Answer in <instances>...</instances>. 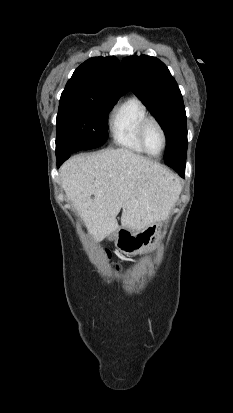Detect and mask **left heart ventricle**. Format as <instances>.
I'll return each mask as SVG.
<instances>
[{"label": "left heart ventricle", "mask_w": 233, "mask_h": 413, "mask_svg": "<svg viewBox=\"0 0 233 413\" xmlns=\"http://www.w3.org/2000/svg\"><path fill=\"white\" fill-rule=\"evenodd\" d=\"M145 142L148 150L157 154L162 148V135L154 123H150L145 130Z\"/></svg>", "instance_id": "1"}]
</instances>
